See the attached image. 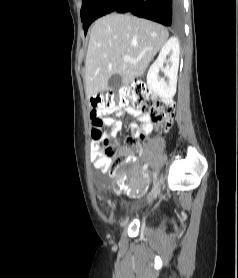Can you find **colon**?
Masks as SVG:
<instances>
[{
    "mask_svg": "<svg viewBox=\"0 0 238 278\" xmlns=\"http://www.w3.org/2000/svg\"><path fill=\"white\" fill-rule=\"evenodd\" d=\"M117 107L148 114L156 126L164 129L169 128L173 122V103L156 98L145 83L137 81L130 87L121 89L118 93L108 91L97 94L91 99L90 120L93 139H101L103 135L101 114ZM135 144L134 139L127 138L126 145L128 147H133ZM103 153L110 161L107 168L110 175L115 176L117 168L124 160V151L115 143H106Z\"/></svg>",
    "mask_w": 238,
    "mask_h": 278,
    "instance_id": "obj_1",
    "label": "colon"
}]
</instances>
